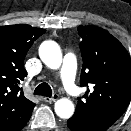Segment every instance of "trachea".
<instances>
[{"label": "trachea", "instance_id": "1", "mask_svg": "<svg viewBox=\"0 0 131 131\" xmlns=\"http://www.w3.org/2000/svg\"><path fill=\"white\" fill-rule=\"evenodd\" d=\"M34 95H42L46 97L52 96V89L50 85L46 82L39 84L34 90Z\"/></svg>", "mask_w": 131, "mask_h": 131}]
</instances>
